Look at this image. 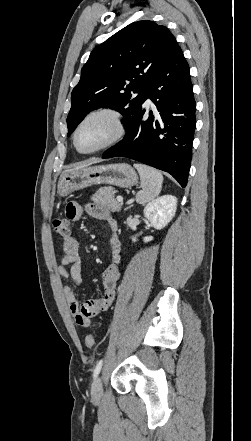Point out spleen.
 <instances>
[{
    "mask_svg": "<svg viewBox=\"0 0 251 441\" xmlns=\"http://www.w3.org/2000/svg\"><path fill=\"white\" fill-rule=\"evenodd\" d=\"M141 179V190L136 195L138 204H146L154 200L162 189L163 175L160 171L147 165L135 163Z\"/></svg>",
    "mask_w": 251,
    "mask_h": 441,
    "instance_id": "3e777b00",
    "label": "spleen"
}]
</instances>
